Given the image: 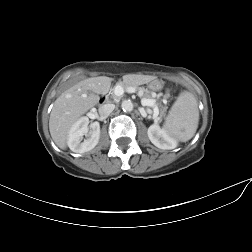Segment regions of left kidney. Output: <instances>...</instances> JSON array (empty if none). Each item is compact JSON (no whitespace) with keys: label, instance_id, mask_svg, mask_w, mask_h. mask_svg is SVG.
<instances>
[{"label":"left kidney","instance_id":"5707ae66","mask_svg":"<svg viewBox=\"0 0 252 252\" xmlns=\"http://www.w3.org/2000/svg\"><path fill=\"white\" fill-rule=\"evenodd\" d=\"M147 134L150 141L160 149L170 150L177 146V141L165 129H161L156 123L148 128Z\"/></svg>","mask_w":252,"mask_h":252}]
</instances>
